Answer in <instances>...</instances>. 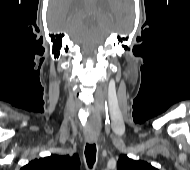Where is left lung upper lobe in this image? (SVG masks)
Returning <instances> with one entry per match:
<instances>
[{
  "label": "left lung upper lobe",
  "instance_id": "5c2ea615",
  "mask_svg": "<svg viewBox=\"0 0 190 170\" xmlns=\"http://www.w3.org/2000/svg\"><path fill=\"white\" fill-rule=\"evenodd\" d=\"M117 168L118 170H157L145 161H136L128 158L126 155H121L119 157Z\"/></svg>",
  "mask_w": 190,
  "mask_h": 170
}]
</instances>
